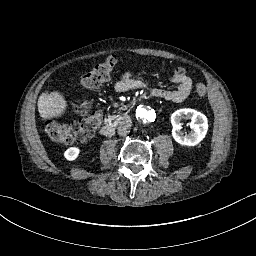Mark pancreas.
Segmentation results:
<instances>
[{
    "instance_id": "cf45deb5",
    "label": "pancreas",
    "mask_w": 256,
    "mask_h": 256,
    "mask_svg": "<svg viewBox=\"0 0 256 256\" xmlns=\"http://www.w3.org/2000/svg\"><path fill=\"white\" fill-rule=\"evenodd\" d=\"M131 114L126 112L123 114H114L113 116L108 117V119H105V123H110V125H116L118 124H129L131 123L130 121Z\"/></svg>"
}]
</instances>
